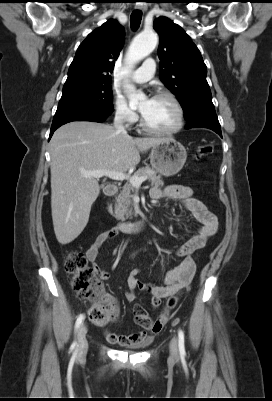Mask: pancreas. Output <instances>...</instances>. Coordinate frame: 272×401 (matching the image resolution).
Instances as JSON below:
<instances>
[{
	"label": "pancreas",
	"instance_id": "pancreas-1",
	"mask_svg": "<svg viewBox=\"0 0 272 401\" xmlns=\"http://www.w3.org/2000/svg\"><path fill=\"white\" fill-rule=\"evenodd\" d=\"M134 176L142 177L146 176L147 180L151 183V186L154 188H161L164 186V182L161 179V176H157L153 169L150 167H144L138 169ZM132 192H134V186L131 183H126L118 196L115 198V218L121 221H125L126 219H132L134 215L132 206Z\"/></svg>",
	"mask_w": 272,
	"mask_h": 401
}]
</instances>
